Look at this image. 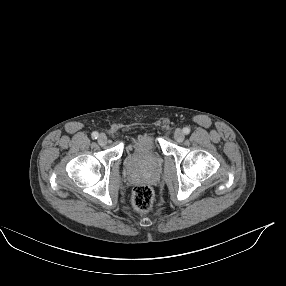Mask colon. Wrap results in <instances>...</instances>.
<instances>
[{
  "mask_svg": "<svg viewBox=\"0 0 286 286\" xmlns=\"http://www.w3.org/2000/svg\"><path fill=\"white\" fill-rule=\"evenodd\" d=\"M154 200L153 191L146 184H138L133 189L132 205L139 212L148 211Z\"/></svg>",
  "mask_w": 286,
  "mask_h": 286,
  "instance_id": "1",
  "label": "colon"
}]
</instances>
